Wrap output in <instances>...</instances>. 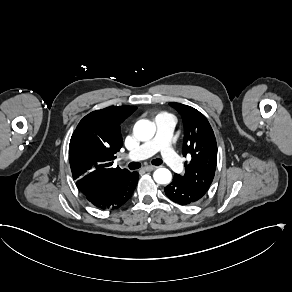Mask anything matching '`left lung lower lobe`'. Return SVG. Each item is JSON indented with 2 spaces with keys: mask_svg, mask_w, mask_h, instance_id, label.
<instances>
[{
  "mask_svg": "<svg viewBox=\"0 0 292 292\" xmlns=\"http://www.w3.org/2000/svg\"><path fill=\"white\" fill-rule=\"evenodd\" d=\"M165 194L175 203L189 205L199 201L206 192L192 188L174 176L173 181L165 187Z\"/></svg>",
  "mask_w": 292,
  "mask_h": 292,
  "instance_id": "0a47b994",
  "label": "left lung lower lobe"
}]
</instances>
